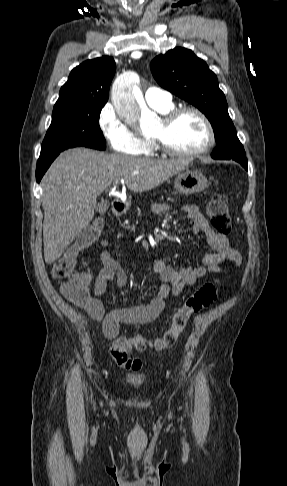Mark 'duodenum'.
Segmentation results:
<instances>
[{
    "label": "duodenum",
    "instance_id": "duodenum-1",
    "mask_svg": "<svg viewBox=\"0 0 287 486\" xmlns=\"http://www.w3.org/2000/svg\"><path fill=\"white\" fill-rule=\"evenodd\" d=\"M125 204L120 200H115L112 202L111 211L115 216L121 215L125 210Z\"/></svg>",
    "mask_w": 287,
    "mask_h": 486
}]
</instances>
